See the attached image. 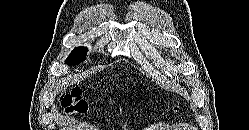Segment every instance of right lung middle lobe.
I'll return each instance as SVG.
<instances>
[{
  "instance_id": "dd1d6c3e",
  "label": "right lung middle lobe",
  "mask_w": 249,
  "mask_h": 130,
  "mask_svg": "<svg viewBox=\"0 0 249 130\" xmlns=\"http://www.w3.org/2000/svg\"><path fill=\"white\" fill-rule=\"evenodd\" d=\"M87 51L88 50L85 47L75 48L68 56L65 63L70 65V64H78L81 61H84Z\"/></svg>"
}]
</instances>
